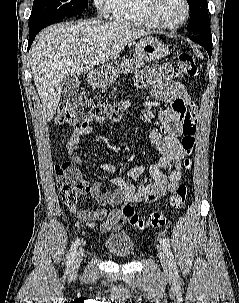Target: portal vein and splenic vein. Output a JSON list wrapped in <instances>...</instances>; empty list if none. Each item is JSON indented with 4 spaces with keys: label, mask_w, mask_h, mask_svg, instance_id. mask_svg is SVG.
Segmentation results:
<instances>
[{
    "label": "portal vein and splenic vein",
    "mask_w": 239,
    "mask_h": 303,
    "mask_svg": "<svg viewBox=\"0 0 239 303\" xmlns=\"http://www.w3.org/2000/svg\"><path fill=\"white\" fill-rule=\"evenodd\" d=\"M93 49H94V48L88 49L87 54L91 53V52L93 51Z\"/></svg>",
    "instance_id": "1"
}]
</instances>
